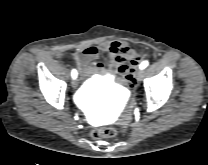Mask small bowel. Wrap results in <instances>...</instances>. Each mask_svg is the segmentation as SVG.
I'll use <instances>...</instances> for the list:
<instances>
[{
  "label": "small bowel",
  "mask_w": 208,
  "mask_h": 165,
  "mask_svg": "<svg viewBox=\"0 0 208 165\" xmlns=\"http://www.w3.org/2000/svg\"><path fill=\"white\" fill-rule=\"evenodd\" d=\"M100 52H107L109 55L111 62L109 73L111 75L124 74L126 67L134 68L133 60L135 58L140 60V56L130 49L126 43L104 41L97 46L86 47L75 55V60L83 77H91L94 73L104 72L103 65L97 61ZM127 62H130L131 66H128ZM113 82L116 85L112 87V90L121 94L123 92V88L120 86L122 81L118 76H115Z\"/></svg>",
  "instance_id": "c3829d8e"
}]
</instances>
